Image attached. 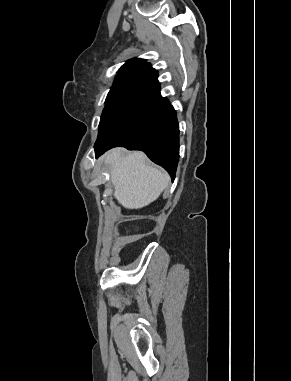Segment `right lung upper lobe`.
Wrapping results in <instances>:
<instances>
[{
	"label": "right lung upper lobe",
	"mask_w": 291,
	"mask_h": 381,
	"mask_svg": "<svg viewBox=\"0 0 291 381\" xmlns=\"http://www.w3.org/2000/svg\"><path fill=\"white\" fill-rule=\"evenodd\" d=\"M157 72L145 59L137 58L126 62L118 71L114 84L118 85L127 80L134 78H143L145 75H150Z\"/></svg>",
	"instance_id": "1"
}]
</instances>
